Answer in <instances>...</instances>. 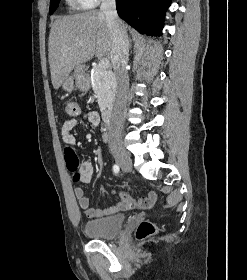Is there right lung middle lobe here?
Here are the masks:
<instances>
[{
  "label": "right lung middle lobe",
  "mask_w": 247,
  "mask_h": 280,
  "mask_svg": "<svg viewBox=\"0 0 247 280\" xmlns=\"http://www.w3.org/2000/svg\"><path fill=\"white\" fill-rule=\"evenodd\" d=\"M58 2H59V0H51L50 14H52L54 12V10L56 9V6H57Z\"/></svg>",
  "instance_id": "dd1d6c3e"
}]
</instances>
